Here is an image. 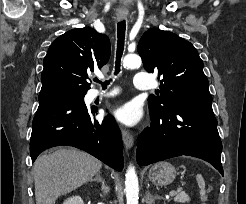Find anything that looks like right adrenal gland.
Listing matches in <instances>:
<instances>
[{
    "label": "right adrenal gland",
    "instance_id": "right-adrenal-gland-1",
    "mask_svg": "<svg viewBox=\"0 0 246 204\" xmlns=\"http://www.w3.org/2000/svg\"><path fill=\"white\" fill-rule=\"evenodd\" d=\"M101 172L99 171L96 175L95 178H92L90 181L94 182H100L101 183V188H102V192L103 194H100L101 197H104L108 192H109V187L106 185L105 180L101 177Z\"/></svg>",
    "mask_w": 246,
    "mask_h": 204
}]
</instances>
